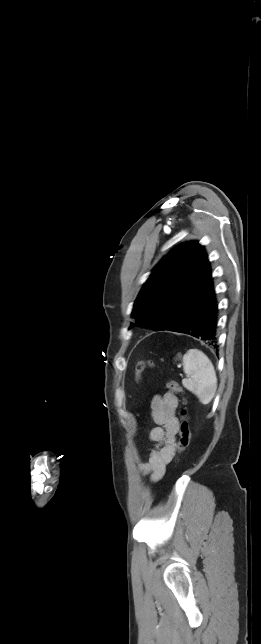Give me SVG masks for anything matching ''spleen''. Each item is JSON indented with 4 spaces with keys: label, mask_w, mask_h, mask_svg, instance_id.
<instances>
[{
    "label": "spleen",
    "mask_w": 261,
    "mask_h": 644,
    "mask_svg": "<svg viewBox=\"0 0 261 644\" xmlns=\"http://www.w3.org/2000/svg\"><path fill=\"white\" fill-rule=\"evenodd\" d=\"M182 364L187 376L182 380L183 386L195 394L202 404H209L217 390V377L212 362L202 351L190 349L183 355Z\"/></svg>",
    "instance_id": "obj_1"
}]
</instances>
